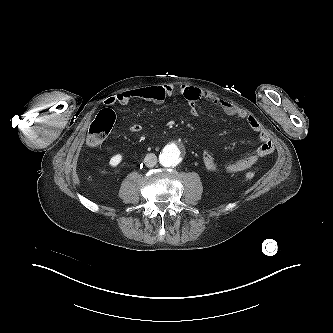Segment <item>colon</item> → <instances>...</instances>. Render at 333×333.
I'll return each instance as SVG.
<instances>
[{"label": "colon", "mask_w": 333, "mask_h": 333, "mask_svg": "<svg viewBox=\"0 0 333 333\" xmlns=\"http://www.w3.org/2000/svg\"><path fill=\"white\" fill-rule=\"evenodd\" d=\"M114 121L115 114L112 110L104 109L99 112L94 121L91 123L88 132L87 143L91 148H97L101 146L112 129ZM254 176L255 175L253 172H247L244 175V178L247 181H250L254 179Z\"/></svg>", "instance_id": "1"}]
</instances>
